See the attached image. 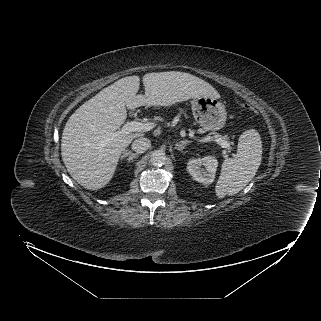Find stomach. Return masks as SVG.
<instances>
[{
	"label": "stomach",
	"instance_id": "1",
	"mask_svg": "<svg viewBox=\"0 0 321 321\" xmlns=\"http://www.w3.org/2000/svg\"><path fill=\"white\" fill-rule=\"evenodd\" d=\"M192 111L196 121L205 130L217 131L223 128L226 122V109L219 98L202 96L191 101Z\"/></svg>",
	"mask_w": 321,
	"mask_h": 321
}]
</instances>
